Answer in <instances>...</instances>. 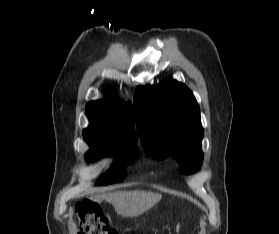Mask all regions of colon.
<instances>
[{
    "instance_id": "1",
    "label": "colon",
    "mask_w": 279,
    "mask_h": 234,
    "mask_svg": "<svg viewBox=\"0 0 279 234\" xmlns=\"http://www.w3.org/2000/svg\"><path fill=\"white\" fill-rule=\"evenodd\" d=\"M78 234H119L112 228L99 206L85 202L79 207Z\"/></svg>"
}]
</instances>
